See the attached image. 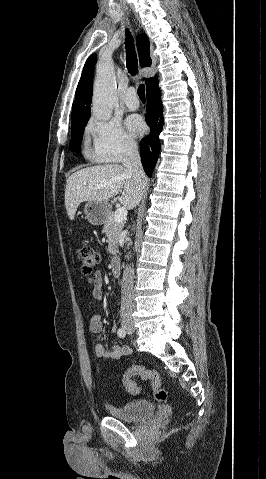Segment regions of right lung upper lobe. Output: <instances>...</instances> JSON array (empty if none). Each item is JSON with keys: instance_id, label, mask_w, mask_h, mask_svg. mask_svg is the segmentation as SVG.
<instances>
[{"instance_id": "right-lung-upper-lobe-1", "label": "right lung upper lobe", "mask_w": 266, "mask_h": 479, "mask_svg": "<svg viewBox=\"0 0 266 479\" xmlns=\"http://www.w3.org/2000/svg\"><path fill=\"white\" fill-rule=\"evenodd\" d=\"M137 50L142 66H150L152 63L150 57V44L146 34L137 36ZM97 56L92 54L86 60L83 72L78 83L72 106V123L90 117V105L92 99V83L94 75V66ZM158 80L156 77L147 78L145 80L147 88Z\"/></svg>"}]
</instances>
